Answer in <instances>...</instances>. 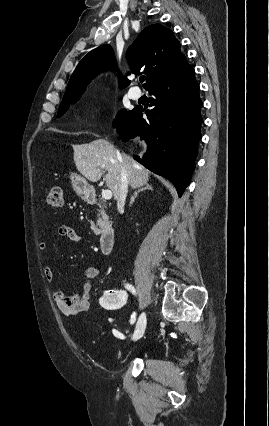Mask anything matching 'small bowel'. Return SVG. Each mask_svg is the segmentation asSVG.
I'll list each match as a JSON object with an SVG mask.
<instances>
[{
	"mask_svg": "<svg viewBox=\"0 0 269 426\" xmlns=\"http://www.w3.org/2000/svg\"><path fill=\"white\" fill-rule=\"evenodd\" d=\"M57 234L59 237L68 238L73 242H82L84 240L82 235L78 234L70 225L67 224L60 225L58 227ZM38 248L41 253H45L47 250V244L45 242H41ZM43 273L46 280L52 284L55 277L52 268L48 264L44 265ZM99 273L100 269L97 266H90L84 271L85 282L82 291L79 294H71L61 289L53 291L54 302L61 314L67 317H77L90 308V291L93 281Z\"/></svg>",
	"mask_w": 269,
	"mask_h": 426,
	"instance_id": "obj_1",
	"label": "small bowel"
}]
</instances>
